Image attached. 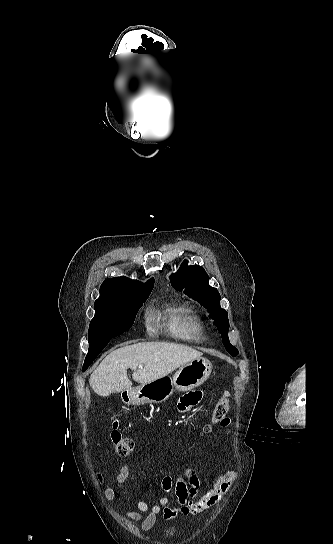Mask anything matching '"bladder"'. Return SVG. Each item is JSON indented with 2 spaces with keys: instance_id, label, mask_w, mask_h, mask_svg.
Masks as SVG:
<instances>
[{
  "instance_id": "1",
  "label": "bladder",
  "mask_w": 333,
  "mask_h": 544,
  "mask_svg": "<svg viewBox=\"0 0 333 544\" xmlns=\"http://www.w3.org/2000/svg\"><path fill=\"white\" fill-rule=\"evenodd\" d=\"M173 532H174V531H173V529H171V528L167 531V533H168L169 535L173 534Z\"/></svg>"
}]
</instances>
